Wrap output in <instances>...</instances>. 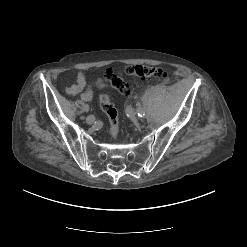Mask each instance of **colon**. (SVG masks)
Returning a JSON list of instances; mask_svg holds the SVG:
<instances>
[{
	"mask_svg": "<svg viewBox=\"0 0 247 247\" xmlns=\"http://www.w3.org/2000/svg\"><path fill=\"white\" fill-rule=\"evenodd\" d=\"M123 71L128 76H136L147 81H162L167 77L166 71L156 66L133 65L125 67ZM104 78L121 94L128 95L130 93L129 85L120 74H116L111 69H107L104 71ZM100 106L108 117L110 136L116 138L119 133L118 113L106 93L100 95Z\"/></svg>",
	"mask_w": 247,
	"mask_h": 247,
	"instance_id": "colon-1",
	"label": "colon"
}]
</instances>
